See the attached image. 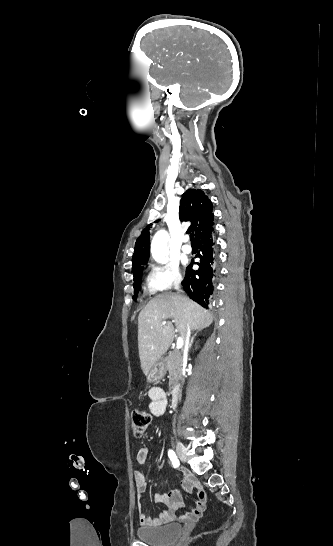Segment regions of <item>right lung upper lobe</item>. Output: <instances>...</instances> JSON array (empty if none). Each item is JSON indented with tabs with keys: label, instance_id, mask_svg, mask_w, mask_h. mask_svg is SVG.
Masks as SVG:
<instances>
[{
	"label": "right lung upper lobe",
	"instance_id": "right-lung-upper-lobe-1",
	"mask_svg": "<svg viewBox=\"0 0 333 546\" xmlns=\"http://www.w3.org/2000/svg\"><path fill=\"white\" fill-rule=\"evenodd\" d=\"M179 217L183 221L192 222L189 229L195 231V240L214 225L212 203L201 189H188L183 194L180 201ZM149 226L143 230L135 244L132 259L134 276L142 271L143 265H146L149 259Z\"/></svg>",
	"mask_w": 333,
	"mask_h": 546
}]
</instances>
